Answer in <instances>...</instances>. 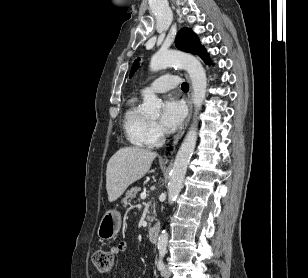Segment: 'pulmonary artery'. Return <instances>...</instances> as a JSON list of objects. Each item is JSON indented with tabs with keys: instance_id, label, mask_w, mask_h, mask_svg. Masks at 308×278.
Returning a JSON list of instances; mask_svg holds the SVG:
<instances>
[{
	"instance_id": "e3ab8cb5",
	"label": "pulmonary artery",
	"mask_w": 308,
	"mask_h": 278,
	"mask_svg": "<svg viewBox=\"0 0 308 278\" xmlns=\"http://www.w3.org/2000/svg\"><path fill=\"white\" fill-rule=\"evenodd\" d=\"M180 79L174 75H164L153 81L148 87L144 88V92L164 93L176 87Z\"/></svg>"
}]
</instances>
